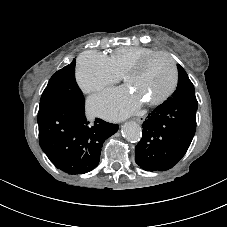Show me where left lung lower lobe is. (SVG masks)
<instances>
[{"label": "left lung lower lobe", "instance_id": "obj_1", "mask_svg": "<svg viewBox=\"0 0 227 227\" xmlns=\"http://www.w3.org/2000/svg\"><path fill=\"white\" fill-rule=\"evenodd\" d=\"M197 108L195 98H172L149 113L136 146V163L147 171H164L177 164L194 137Z\"/></svg>", "mask_w": 227, "mask_h": 227}]
</instances>
